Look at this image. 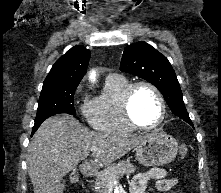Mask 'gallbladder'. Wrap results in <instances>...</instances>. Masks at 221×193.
Here are the masks:
<instances>
[{"label": "gallbladder", "instance_id": "bac80fb5", "mask_svg": "<svg viewBox=\"0 0 221 193\" xmlns=\"http://www.w3.org/2000/svg\"><path fill=\"white\" fill-rule=\"evenodd\" d=\"M61 189L62 190L64 189V183H61Z\"/></svg>", "mask_w": 221, "mask_h": 193}]
</instances>
